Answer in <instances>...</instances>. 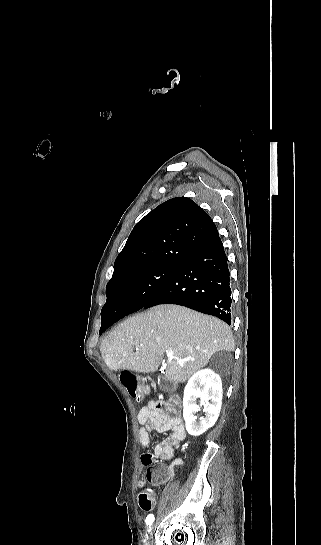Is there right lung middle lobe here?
Wrapping results in <instances>:
<instances>
[{
	"label": "right lung middle lobe",
	"mask_w": 321,
	"mask_h": 545,
	"mask_svg": "<svg viewBox=\"0 0 321 545\" xmlns=\"http://www.w3.org/2000/svg\"><path fill=\"white\" fill-rule=\"evenodd\" d=\"M180 266L159 264L120 274L112 284L107 285L106 305H121L125 315L140 310L174 276ZM101 320L100 330L107 324L103 315Z\"/></svg>",
	"instance_id": "right-lung-middle-lobe-1"
}]
</instances>
